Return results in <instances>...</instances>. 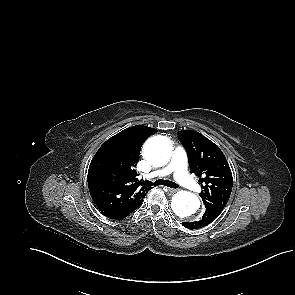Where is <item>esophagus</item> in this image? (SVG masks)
I'll return each instance as SVG.
<instances>
[{
  "label": "esophagus",
  "instance_id": "obj_1",
  "mask_svg": "<svg viewBox=\"0 0 295 295\" xmlns=\"http://www.w3.org/2000/svg\"><path fill=\"white\" fill-rule=\"evenodd\" d=\"M167 191L171 194L175 193L177 191V189H173V188H167Z\"/></svg>",
  "mask_w": 295,
  "mask_h": 295
}]
</instances>
